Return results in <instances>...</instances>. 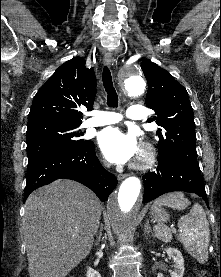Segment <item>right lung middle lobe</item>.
I'll return each mask as SVG.
<instances>
[{
	"mask_svg": "<svg viewBox=\"0 0 221 277\" xmlns=\"http://www.w3.org/2000/svg\"><path fill=\"white\" fill-rule=\"evenodd\" d=\"M79 124L46 123L27 127L28 165L44 157L66 153L84 145L82 132H77Z\"/></svg>",
	"mask_w": 221,
	"mask_h": 277,
	"instance_id": "right-lung-middle-lobe-1",
	"label": "right lung middle lobe"
}]
</instances>
